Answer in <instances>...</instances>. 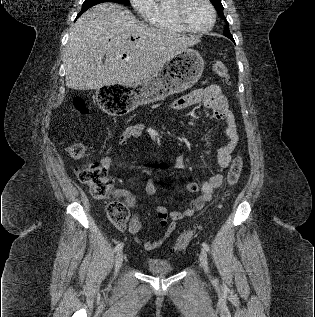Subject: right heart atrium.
<instances>
[{"instance_id": "right-heart-atrium-1", "label": "right heart atrium", "mask_w": 315, "mask_h": 317, "mask_svg": "<svg viewBox=\"0 0 315 317\" xmlns=\"http://www.w3.org/2000/svg\"><path fill=\"white\" fill-rule=\"evenodd\" d=\"M153 0H130L134 10L141 16H147L151 9Z\"/></svg>"}]
</instances>
